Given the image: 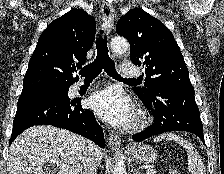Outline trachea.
<instances>
[{
    "label": "trachea",
    "mask_w": 224,
    "mask_h": 174,
    "mask_svg": "<svg viewBox=\"0 0 224 174\" xmlns=\"http://www.w3.org/2000/svg\"><path fill=\"white\" fill-rule=\"evenodd\" d=\"M104 30H100V34L98 39L96 40V49H97V55L95 60L90 63L87 66H84L80 71L79 75L81 77H85V80H93L96 78L104 69V71L107 73V75L113 77L117 80H123V81H138L136 78H122L115 69L114 62L110 59L108 55V47L107 43L105 41V37L103 38Z\"/></svg>",
    "instance_id": "3493384b"
}]
</instances>
